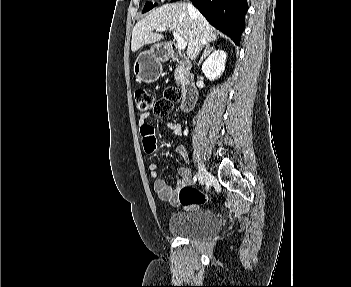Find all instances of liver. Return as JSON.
Masks as SVG:
<instances>
[{
  "label": "liver",
  "instance_id": "1",
  "mask_svg": "<svg viewBox=\"0 0 351 287\" xmlns=\"http://www.w3.org/2000/svg\"><path fill=\"white\" fill-rule=\"evenodd\" d=\"M159 27L177 31L187 43V55L190 58H195L203 45L217 39L214 27L201 13L196 11L191 14L186 3L177 2L154 9L136 23L132 31V52L164 39L162 34L153 32Z\"/></svg>",
  "mask_w": 351,
  "mask_h": 287
}]
</instances>
